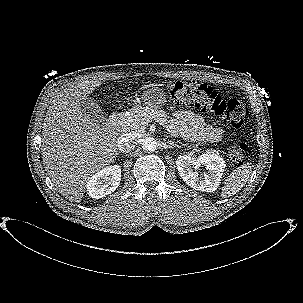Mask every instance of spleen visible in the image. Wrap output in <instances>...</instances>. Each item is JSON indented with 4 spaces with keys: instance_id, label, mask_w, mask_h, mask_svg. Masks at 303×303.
Instances as JSON below:
<instances>
[{
    "instance_id": "3e777b00",
    "label": "spleen",
    "mask_w": 303,
    "mask_h": 303,
    "mask_svg": "<svg viewBox=\"0 0 303 303\" xmlns=\"http://www.w3.org/2000/svg\"><path fill=\"white\" fill-rule=\"evenodd\" d=\"M252 167L249 163L237 167L225 180L221 197L227 198L236 194L249 180Z\"/></svg>"
}]
</instances>
